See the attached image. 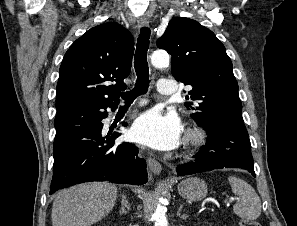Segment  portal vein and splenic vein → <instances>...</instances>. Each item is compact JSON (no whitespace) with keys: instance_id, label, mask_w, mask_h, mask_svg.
<instances>
[{"instance_id":"1","label":"portal vein and splenic vein","mask_w":297,"mask_h":226,"mask_svg":"<svg viewBox=\"0 0 297 226\" xmlns=\"http://www.w3.org/2000/svg\"><path fill=\"white\" fill-rule=\"evenodd\" d=\"M234 200H235V198H231V199H229V200H224V203L227 204V205H230V203H231L232 201H234Z\"/></svg>"}]
</instances>
